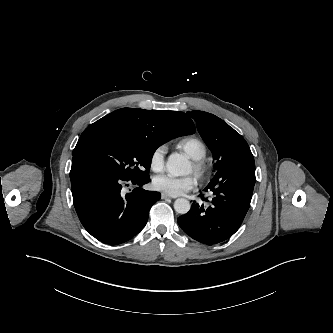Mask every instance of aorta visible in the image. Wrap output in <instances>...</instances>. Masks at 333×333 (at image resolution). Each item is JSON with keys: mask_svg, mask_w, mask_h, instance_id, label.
Returning a JSON list of instances; mask_svg holds the SVG:
<instances>
[{"mask_svg": "<svg viewBox=\"0 0 333 333\" xmlns=\"http://www.w3.org/2000/svg\"><path fill=\"white\" fill-rule=\"evenodd\" d=\"M166 168L172 176H185L189 172V163L178 153H172L167 160ZM190 202L184 198H178L174 202V209L179 214H186L190 210Z\"/></svg>", "mask_w": 333, "mask_h": 333, "instance_id": "aorta-1", "label": "aorta"}]
</instances>
